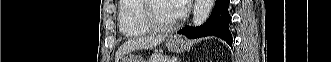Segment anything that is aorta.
Returning <instances> with one entry per match:
<instances>
[{"mask_svg":"<svg viewBox=\"0 0 331 62\" xmlns=\"http://www.w3.org/2000/svg\"><path fill=\"white\" fill-rule=\"evenodd\" d=\"M215 0H196L193 10V26L202 25L209 17Z\"/></svg>","mask_w":331,"mask_h":62,"instance_id":"762f6f07","label":"aorta"}]
</instances>
